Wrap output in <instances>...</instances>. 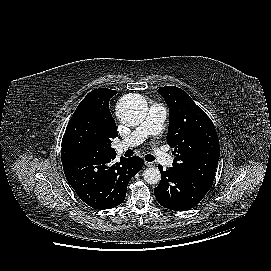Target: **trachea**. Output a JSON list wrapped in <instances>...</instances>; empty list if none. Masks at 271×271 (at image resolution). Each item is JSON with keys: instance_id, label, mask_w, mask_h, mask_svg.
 <instances>
[{"instance_id": "obj_1", "label": "trachea", "mask_w": 271, "mask_h": 271, "mask_svg": "<svg viewBox=\"0 0 271 271\" xmlns=\"http://www.w3.org/2000/svg\"><path fill=\"white\" fill-rule=\"evenodd\" d=\"M145 160L148 161V162H152L155 160V157L151 154H148L145 156Z\"/></svg>"}]
</instances>
